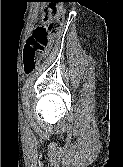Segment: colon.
Returning <instances> with one entry per match:
<instances>
[{"label":"colon","mask_w":123,"mask_h":167,"mask_svg":"<svg viewBox=\"0 0 123 167\" xmlns=\"http://www.w3.org/2000/svg\"><path fill=\"white\" fill-rule=\"evenodd\" d=\"M63 23V9L61 6H52L44 10L42 24L37 26L28 37L24 55L23 69L25 74H31L39 60L46 54L51 39L56 35Z\"/></svg>","instance_id":"5ec220e1"}]
</instances>
